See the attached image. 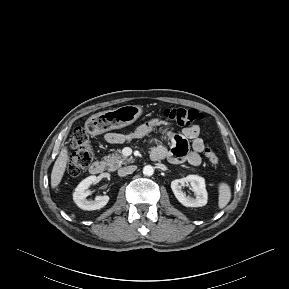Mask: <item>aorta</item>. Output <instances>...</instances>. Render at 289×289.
<instances>
[{"mask_svg": "<svg viewBox=\"0 0 289 289\" xmlns=\"http://www.w3.org/2000/svg\"><path fill=\"white\" fill-rule=\"evenodd\" d=\"M154 173V168L151 166V165H146L144 168H143V174L145 176H152Z\"/></svg>", "mask_w": 289, "mask_h": 289, "instance_id": "762f6f07", "label": "aorta"}]
</instances>
